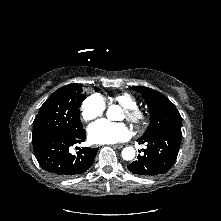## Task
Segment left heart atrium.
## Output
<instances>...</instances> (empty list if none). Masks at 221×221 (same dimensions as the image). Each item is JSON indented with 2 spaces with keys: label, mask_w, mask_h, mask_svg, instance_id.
Instances as JSON below:
<instances>
[{
  "label": "left heart atrium",
  "mask_w": 221,
  "mask_h": 221,
  "mask_svg": "<svg viewBox=\"0 0 221 221\" xmlns=\"http://www.w3.org/2000/svg\"><path fill=\"white\" fill-rule=\"evenodd\" d=\"M130 131L124 123L100 120L88 128V137L95 144H113L126 140Z\"/></svg>",
  "instance_id": "39dd6f15"
}]
</instances>
